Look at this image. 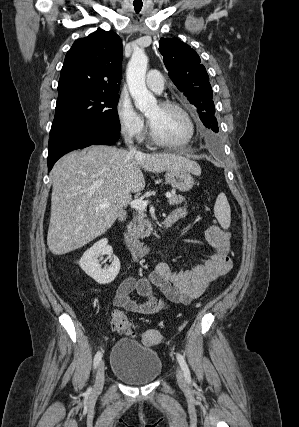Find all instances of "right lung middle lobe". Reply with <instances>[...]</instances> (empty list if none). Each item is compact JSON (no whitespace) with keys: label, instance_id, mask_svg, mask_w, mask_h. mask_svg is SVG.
<instances>
[{"label":"right lung middle lobe","instance_id":"obj_1","mask_svg":"<svg viewBox=\"0 0 299 427\" xmlns=\"http://www.w3.org/2000/svg\"><path fill=\"white\" fill-rule=\"evenodd\" d=\"M118 92H85L57 100L50 135L74 126L120 131Z\"/></svg>","mask_w":299,"mask_h":427}]
</instances>
